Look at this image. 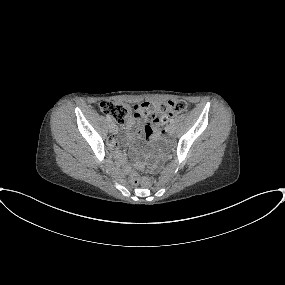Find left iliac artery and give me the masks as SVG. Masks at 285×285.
Instances as JSON below:
<instances>
[{"instance_id":"left-iliac-artery-1","label":"left iliac artery","mask_w":285,"mask_h":285,"mask_svg":"<svg viewBox=\"0 0 285 285\" xmlns=\"http://www.w3.org/2000/svg\"><path fill=\"white\" fill-rule=\"evenodd\" d=\"M174 123V119H170V124H173Z\"/></svg>"}]
</instances>
